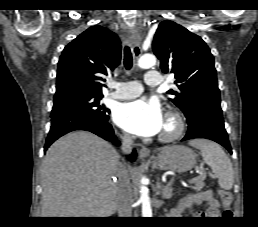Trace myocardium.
Wrapping results in <instances>:
<instances>
[{
	"mask_svg": "<svg viewBox=\"0 0 258 227\" xmlns=\"http://www.w3.org/2000/svg\"><path fill=\"white\" fill-rule=\"evenodd\" d=\"M165 121L169 123L170 128L161 132L159 140L161 142H172L178 139L185 129V120L183 116L178 112L170 111L166 114Z\"/></svg>",
	"mask_w": 258,
	"mask_h": 227,
	"instance_id": "myocardium-1",
	"label": "myocardium"
}]
</instances>
